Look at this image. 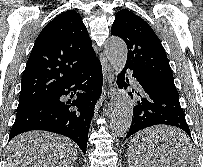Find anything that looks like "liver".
<instances>
[{"instance_id": "6515ba94", "label": "liver", "mask_w": 203, "mask_h": 167, "mask_svg": "<svg viewBox=\"0 0 203 167\" xmlns=\"http://www.w3.org/2000/svg\"><path fill=\"white\" fill-rule=\"evenodd\" d=\"M186 138V134L176 128L156 126L138 133L132 142L156 153L163 164L180 167L189 160L190 148L183 150L178 146V143H185ZM77 154L75 143L68 138L45 131H31L9 142L5 167H74Z\"/></svg>"}]
</instances>
